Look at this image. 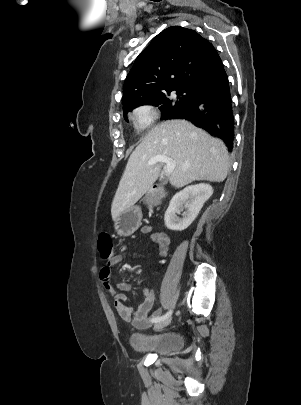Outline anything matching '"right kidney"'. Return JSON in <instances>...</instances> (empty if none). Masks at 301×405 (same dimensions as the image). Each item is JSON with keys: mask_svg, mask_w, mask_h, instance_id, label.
Here are the masks:
<instances>
[{"mask_svg": "<svg viewBox=\"0 0 301 405\" xmlns=\"http://www.w3.org/2000/svg\"><path fill=\"white\" fill-rule=\"evenodd\" d=\"M212 194V186L205 183L187 186L176 193L165 212L164 221L166 227L174 231L185 230L195 220L204 203ZM181 212L182 219L176 215Z\"/></svg>", "mask_w": 301, "mask_h": 405, "instance_id": "obj_1", "label": "right kidney"}]
</instances>
